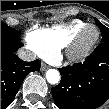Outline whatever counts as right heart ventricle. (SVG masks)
Segmentation results:
<instances>
[{"label": "right heart ventricle", "instance_id": "obj_1", "mask_svg": "<svg viewBox=\"0 0 109 109\" xmlns=\"http://www.w3.org/2000/svg\"><path fill=\"white\" fill-rule=\"evenodd\" d=\"M87 25L82 20H72L66 24L55 25L50 28H32L26 35V40L35 42L44 50V57L54 58L56 54L66 47L73 35Z\"/></svg>", "mask_w": 109, "mask_h": 109}]
</instances>
